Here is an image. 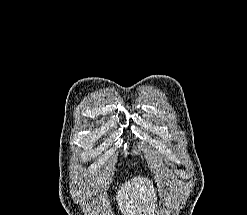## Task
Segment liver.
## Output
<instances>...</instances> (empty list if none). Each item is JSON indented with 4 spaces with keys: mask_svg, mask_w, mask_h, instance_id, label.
<instances>
[{
    "mask_svg": "<svg viewBox=\"0 0 247 215\" xmlns=\"http://www.w3.org/2000/svg\"><path fill=\"white\" fill-rule=\"evenodd\" d=\"M151 183L138 176L121 187L116 200L123 215H154L156 193Z\"/></svg>",
    "mask_w": 247,
    "mask_h": 215,
    "instance_id": "liver-1",
    "label": "liver"
}]
</instances>
